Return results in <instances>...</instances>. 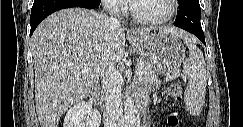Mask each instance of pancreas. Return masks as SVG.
<instances>
[{
  "mask_svg": "<svg viewBox=\"0 0 243 127\" xmlns=\"http://www.w3.org/2000/svg\"><path fill=\"white\" fill-rule=\"evenodd\" d=\"M138 68H142L144 73L142 74V78L148 82L153 83L154 85L158 86L160 84V80L154 70L151 68L149 64L145 61L140 60L138 64Z\"/></svg>",
  "mask_w": 243,
  "mask_h": 127,
  "instance_id": "obj_1",
  "label": "pancreas"
}]
</instances>
